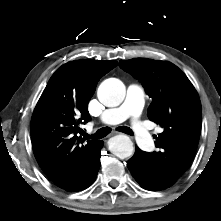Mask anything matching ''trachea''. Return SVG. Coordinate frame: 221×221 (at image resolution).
I'll list each match as a JSON object with an SVG mask.
<instances>
[{
    "label": "trachea",
    "instance_id": "1",
    "mask_svg": "<svg viewBox=\"0 0 221 221\" xmlns=\"http://www.w3.org/2000/svg\"><path fill=\"white\" fill-rule=\"evenodd\" d=\"M116 130L123 132L125 134H128V135H131V136L133 135L132 130L126 126L118 127ZM110 132H111L110 127H103L101 129H99L94 135H91V136L87 135V137L91 138V139H101V138H104L105 136H107Z\"/></svg>",
    "mask_w": 221,
    "mask_h": 221
}]
</instances>
